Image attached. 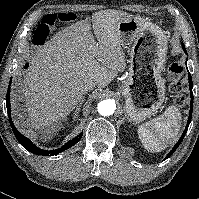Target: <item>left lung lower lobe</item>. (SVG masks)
Here are the masks:
<instances>
[{"instance_id":"0a47b994","label":"left lung lower lobe","mask_w":199,"mask_h":199,"mask_svg":"<svg viewBox=\"0 0 199 199\" xmlns=\"http://www.w3.org/2000/svg\"><path fill=\"white\" fill-rule=\"evenodd\" d=\"M183 50L186 52V49L184 47V44H183ZM188 71V69H187ZM188 79H189V88H190V93H191V108H190V111H189V118H188V121H187V125H186V128L182 134V136L180 137L179 141L176 143V145L173 147V149L169 152V154L166 156L165 159L169 158L174 152L175 150L179 147L180 143L182 142L187 130H188V127H189V124L191 122V118H192V110H193V92H192V87H193V83H192V78H191V75L188 71Z\"/></svg>"}]
</instances>
